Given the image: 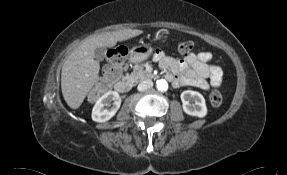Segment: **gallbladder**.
<instances>
[{
    "instance_id": "obj_1",
    "label": "gallbladder",
    "mask_w": 287,
    "mask_h": 175,
    "mask_svg": "<svg viewBox=\"0 0 287 175\" xmlns=\"http://www.w3.org/2000/svg\"><path fill=\"white\" fill-rule=\"evenodd\" d=\"M106 49L104 47H98L95 50V59L97 61H102L105 58Z\"/></svg>"
}]
</instances>
